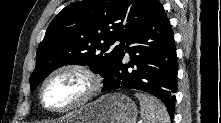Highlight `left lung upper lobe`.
Masks as SVG:
<instances>
[{"label": "left lung upper lobe", "instance_id": "left-lung-upper-lobe-1", "mask_svg": "<svg viewBox=\"0 0 221 123\" xmlns=\"http://www.w3.org/2000/svg\"><path fill=\"white\" fill-rule=\"evenodd\" d=\"M157 0H82L65 7L50 23L30 76L31 90L64 65H88L107 78L124 43L153 11ZM121 43L113 50L110 46Z\"/></svg>", "mask_w": 221, "mask_h": 123}]
</instances>
